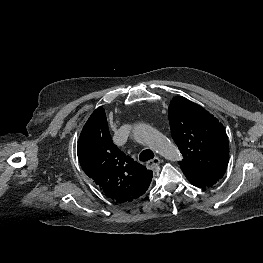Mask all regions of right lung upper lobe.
I'll return each mask as SVG.
<instances>
[{
	"instance_id": "right-lung-upper-lobe-1",
	"label": "right lung upper lobe",
	"mask_w": 263,
	"mask_h": 263,
	"mask_svg": "<svg viewBox=\"0 0 263 263\" xmlns=\"http://www.w3.org/2000/svg\"><path fill=\"white\" fill-rule=\"evenodd\" d=\"M77 154L84 172L113 201L131 203L151 183L152 171L113 144L103 107L97 108L84 125Z\"/></svg>"
}]
</instances>
